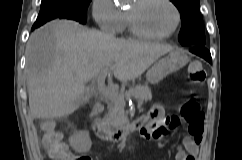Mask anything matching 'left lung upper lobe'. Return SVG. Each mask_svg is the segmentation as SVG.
<instances>
[{
  "label": "left lung upper lobe",
  "mask_w": 242,
  "mask_h": 160,
  "mask_svg": "<svg viewBox=\"0 0 242 160\" xmlns=\"http://www.w3.org/2000/svg\"><path fill=\"white\" fill-rule=\"evenodd\" d=\"M181 13L179 41L183 46L205 45L204 23L199 0H170Z\"/></svg>",
  "instance_id": "obj_1"
}]
</instances>
